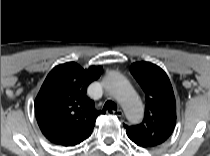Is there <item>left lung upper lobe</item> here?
Segmentation results:
<instances>
[{"label":"left lung upper lobe","mask_w":210,"mask_h":156,"mask_svg":"<svg viewBox=\"0 0 210 156\" xmlns=\"http://www.w3.org/2000/svg\"><path fill=\"white\" fill-rule=\"evenodd\" d=\"M130 72L146 94L142 123L125 126L128 137L141 147L160 145L172 134L176 123V102L166 73L149 62L133 63Z\"/></svg>","instance_id":"1"}]
</instances>
